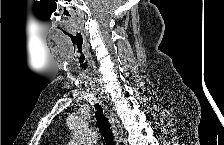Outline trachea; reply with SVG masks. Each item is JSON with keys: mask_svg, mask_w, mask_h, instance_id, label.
Segmentation results:
<instances>
[{"mask_svg": "<svg viewBox=\"0 0 224 145\" xmlns=\"http://www.w3.org/2000/svg\"><path fill=\"white\" fill-rule=\"evenodd\" d=\"M80 63H81V66H80L81 69L86 70L87 64L84 63V59H81ZM95 109H96L95 117L97 120V125L99 127V130H100L102 136L104 137L106 144L114 145V136H113L112 130L110 128V123H109L108 119L105 117L101 107L98 104L95 105Z\"/></svg>", "mask_w": 224, "mask_h": 145, "instance_id": "trachea-1", "label": "trachea"}]
</instances>
